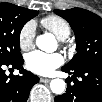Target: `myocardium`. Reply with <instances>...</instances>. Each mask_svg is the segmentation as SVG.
<instances>
[{"instance_id":"myocardium-1","label":"myocardium","mask_w":102,"mask_h":102,"mask_svg":"<svg viewBox=\"0 0 102 102\" xmlns=\"http://www.w3.org/2000/svg\"><path fill=\"white\" fill-rule=\"evenodd\" d=\"M72 45H70V44H64V49H66V50H72Z\"/></svg>"}]
</instances>
